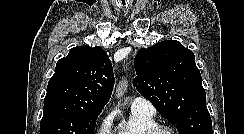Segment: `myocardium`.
<instances>
[{"instance_id": "obj_1", "label": "myocardium", "mask_w": 244, "mask_h": 134, "mask_svg": "<svg viewBox=\"0 0 244 134\" xmlns=\"http://www.w3.org/2000/svg\"><path fill=\"white\" fill-rule=\"evenodd\" d=\"M161 132H168L169 134H178L172 127L165 124H156L146 134H160Z\"/></svg>"}]
</instances>
